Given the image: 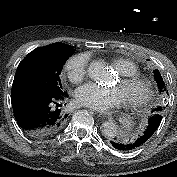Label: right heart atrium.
<instances>
[{"instance_id":"d8ad5b80","label":"right heart atrium","mask_w":177,"mask_h":177,"mask_svg":"<svg viewBox=\"0 0 177 177\" xmlns=\"http://www.w3.org/2000/svg\"><path fill=\"white\" fill-rule=\"evenodd\" d=\"M89 58L86 54H78L70 57L65 64V71L69 80L73 83L81 82L88 71Z\"/></svg>"}]
</instances>
